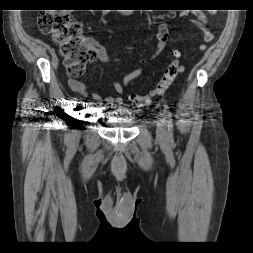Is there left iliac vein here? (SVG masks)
Here are the masks:
<instances>
[{
  "label": "left iliac vein",
  "mask_w": 253,
  "mask_h": 253,
  "mask_svg": "<svg viewBox=\"0 0 253 253\" xmlns=\"http://www.w3.org/2000/svg\"><path fill=\"white\" fill-rule=\"evenodd\" d=\"M156 137L161 143L167 141L166 122L163 118H160L157 122Z\"/></svg>",
  "instance_id": "obj_1"
}]
</instances>
